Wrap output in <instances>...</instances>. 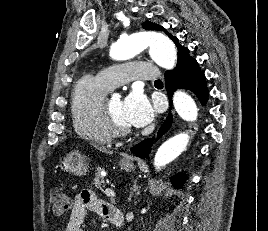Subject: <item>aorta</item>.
<instances>
[{
	"label": "aorta",
	"instance_id": "1",
	"mask_svg": "<svg viewBox=\"0 0 268 231\" xmlns=\"http://www.w3.org/2000/svg\"><path fill=\"white\" fill-rule=\"evenodd\" d=\"M149 47L151 58L165 69H173L177 62L174 43L165 35L154 32L136 33L120 38L111 46L110 56L114 60H128ZM173 104L178 115L186 121H195L198 116L194 100L183 91H176ZM190 136L181 132L166 140L157 150L154 167L161 170L166 164L177 158L187 147Z\"/></svg>",
	"mask_w": 268,
	"mask_h": 231
}]
</instances>
